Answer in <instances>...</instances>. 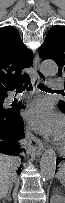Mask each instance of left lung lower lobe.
Masks as SVG:
<instances>
[{
  "instance_id": "0a47b994",
  "label": "left lung lower lobe",
  "mask_w": 65,
  "mask_h": 203,
  "mask_svg": "<svg viewBox=\"0 0 65 203\" xmlns=\"http://www.w3.org/2000/svg\"><path fill=\"white\" fill-rule=\"evenodd\" d=\"M65 161V157L64 158H58L57 160H56V165L59 163V162H61V161Z\"/></svg>"
}]
</instances>
